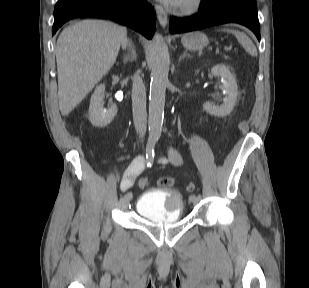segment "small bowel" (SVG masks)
<instances>
[{
    "instance_id": "c3829d8e",
    "label": "small bowel",
    "mask_w": 309,
    "mask_h": 288,
    "mask_svg": "<svg viewBox=\"0 0 309 288\" xmlns=\"http://www.w3.org/2000/svg\"><path fill=\"white\" fill-rule=\"evenodd\" d=\"M159 163H170L174 166H179L182 163L181 156L173 149L169 148L167 157H162L158 159ZM146 164L145 158L143 156L136 157L129 167L126 169L121 182L120 187L123 190L130 189L134 185V181L136 177L140 174V172L144 169Z\"/></svg>"
}]
</instances>
